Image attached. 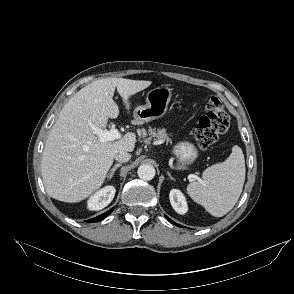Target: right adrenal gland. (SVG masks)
I'll return each mask as SVG.
<instances>
[{
    "instance_id": "obj_1",
    "label": "right adrenal gland",
    "mask_w": 294,
    "mask_h": 294,
    "mask_svg": "<svg viewBox=\"0 0 294 294\" xmlns=\"http://www.w3.org/2000/svg\"><path fill=\"white\" fill-rule=\"evenodd\" d=\"M121 166H122L121 163L115 164V165L113 166V168L110 170V172H109V174H108V176H107V179H108V180H111V178L113 177V175H114L115 171L117 170V168H119V167H121Z\"/></svg>"
}]
</instances>
